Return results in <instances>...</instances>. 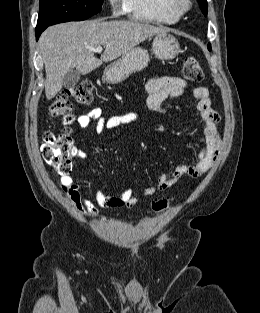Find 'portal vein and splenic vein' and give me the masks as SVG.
<instances>
[{
  "label": "portal vein and splenic vein",
  "mask_w": 260,
  "mask_h": 313,
  "mask_svg": "<svg viewBox=\"0 0 260 313\" xmlns=\"http://www.w3.org/2000/svg\"><path fill=\"white\" fill-rule=\"evenodd\" d=\"M102 50H103V48L101 46H98L96 48H92V51L97 52V53L102 52Z\"/></svg>",
  "instance_id": "18ae733b"
}]
</instances>
